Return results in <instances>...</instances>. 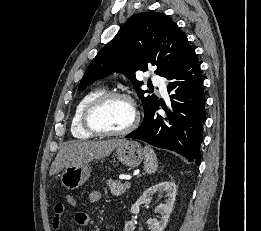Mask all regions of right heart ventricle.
Masks as SVG:
<instances>
[{
  "label": "right heart ventricle",
  "mask_w": 261,
  "mask_h": 231,
  "mask_svg": "<svg viewBox=\"0 0 261 231\" xmlns=\"http://www.w3.org/2000/svg\"><path fill=\"white\" fill-rule=\"evenodd\" d=\"M105 91L103 89L97 88L89 93H87L85 96L82 97V99L78 102V104L75 107V110L73 112L72 118H71V133L72 135L77 139H88L93 137V134L87 132L82 124V115L84 112V109L86 106L95 98H97L99 95L104 93Z\"/></svg>",
  "instance_id": "obj_1"
}]
</instances>
